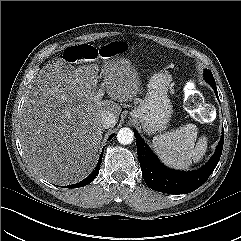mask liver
I'll return each mask as SVG.
<instances>
[{
  "label": "liver",
  "instance_id": "liver-1",
  "mask_svg": "<svg viewBox=\"0 0 241 241\" xmlns=\"http://www.w3.org/2000/svg\"><path fill=\"white\" fill-rule=\"evenodd\" d=\"M98 71L95 64L75 68L60 59L44 66L27 91L19 137L28 166L49 182L68 185L91 173L103 134L101 116L110 112L117 119L119 103L140 91L131 62L112 59L101 70L111 99L102 100L97 96Z\"/></svg>",
  "mask_w": 241,
  "mask_h": 241
}]
</instances>
